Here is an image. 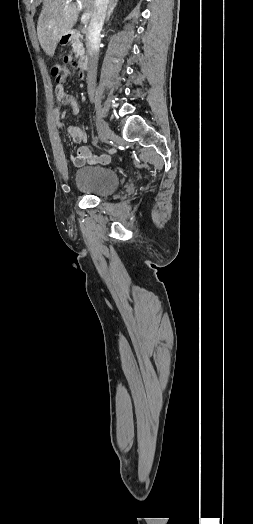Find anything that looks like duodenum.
Here are the masks:
<instances>
[{
  "label": "duodenum",
  "instance_id": "410a0bca",
  "mask_svg": "<svg viewBox=\"0 0 253 524\" xmlns=\"http://www.w3.org/2000/svg\"><path fill=\"white\" fill-rule=\"evenodd\" d=\"M76 35H77V31L76 30H71V31H69L66 34V38L72 39V38H75ZM78 65H79L80 68L84 69V71H86L88 69V66H89L88 58L85 55V53H83V52L80 54V56L78 58Z\"/></svg>",
  "mask_w": 253,
  "mask_h": 524
}]
</instances>
